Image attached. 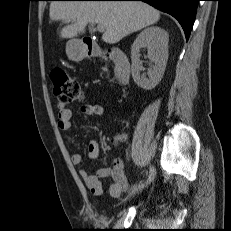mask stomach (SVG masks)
Wrapping results in <instances>:
<instances>
[{"label":"stomach","instance_id":"1","mask_svg":"<svg viewBox=\"0 0 231 231\" xmlns=\"http://www.w3.org/2000/svg\"><path fill=\"white\" fill-rule=\"evenodd\" d=\"M86 53L85 47L81 41L72 39L66 44V54L72 61H80L84 58Z\"/></svg>","mask_w":231,"mask_h":231}]
</instances>
